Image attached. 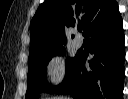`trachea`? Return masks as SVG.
<instances>
[{
    "label": "trachea",
    "instance_id": "3493384b",
    "mask_svg": "<svg viewBox=\"0 0 128 99\" xmlns=\"http://www.w3.org/2000/svg\"><path fill=\"white\" fill-rule=\"evenodd\" d=\"M78 31H82V25L78 26Z\"/></svg>",
    "mask_w": 128,
    "mask_h": 99
}]
</instances>
